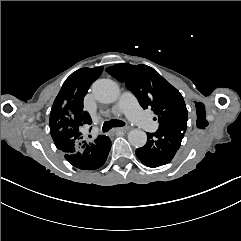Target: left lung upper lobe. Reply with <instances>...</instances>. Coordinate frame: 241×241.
Returning <instances> with one entry per match:
<instances>
[{"mask_svg": "<svg viewBox=\"0 0 241 241\" xmlns=\"http://www.w3.org/2000/svg\"><path fill=\"white\" fill-rule=\"evenodd\" d=\"M106 71L124 82L140 105L158 116L159 127L187 123L188 112L181 93L147 65L116 64Z\"/></svg>", "mask_w": 241, "mask_h": 241, "instance_id": "obj_1", "label": "left lung upper lobe"}]
</instances>
